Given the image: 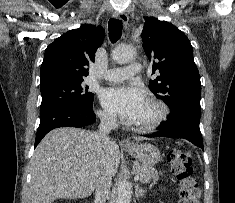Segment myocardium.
<instances>
[{"label":"myocardium","mask_w":235,"mask_h":203,"mask_svg":"<svg viewBox=\"0 0 235 203\" xmlns=\"http://www.w3.org/2000/svg\"><path fill=\"white\" fill-rule=\"evenodd\" d=\"M147 104L156 109V115L152 120L146 123H133V129L138 132L148 133L157 130L167 120L169 115V109L164 102L157 99H150L147 101Z\"/></svg>","instance_id":"1"}]
</instances>
